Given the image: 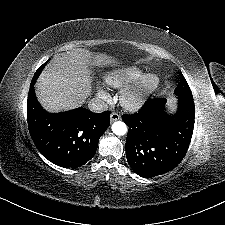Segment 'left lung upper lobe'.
Segmentation results:
<instances>
[{
  "instance_id": "5c2ea615",
  "label": "left lung upper lobe",
  "mask_w": 225,
  "mask_h": 225,
  "mask_svg": "<svg viewBox=\"0 0 225 225\" xmlns=\"http://www.w3.org/2000/svg\"><path fill=\"white\" fill-rule=\"evenodd\" d=\"M175 94L178 96H192L188 83L186 82L184 76L181 74V80L179 85L175 90Z\"/></svg>"
}]
</instances>
